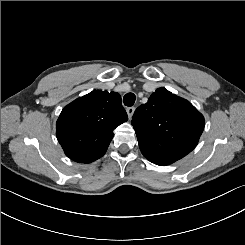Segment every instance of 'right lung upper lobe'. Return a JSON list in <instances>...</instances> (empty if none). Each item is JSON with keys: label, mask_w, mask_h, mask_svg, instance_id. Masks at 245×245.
<instances>
[{"label": "right lung upper lobe", "mask_w": 245, "mask_h": 245, "mask_svg": "<svg viewBox=\"0 0 245 245\" xmlns=\"http://www.w3.org/2000/svg\"><path fill=\"white\" fill-rule=\"evenodd\" d=\"M127 120L118 93L94 90L62 110L56 135L70 159L91 163L106 153L113 130Z\"/></svg>", "instance_id": "obj_1"}]
</instances>
